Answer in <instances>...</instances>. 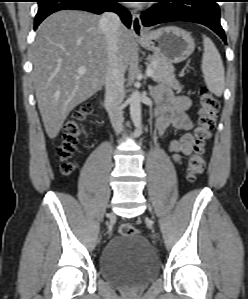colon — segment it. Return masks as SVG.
I'll return each mask as SVG.
<instances>
[{"label":"colon","instance_id":"colon-1","mask_svg":"<svg viewBox=\"0 0 248 299\" xmlns=\"http://www.w3.org/2000/svg\"><path fill=\"white\" fill-rule=\"evenodd\" d=\"M218 110L219 102L216 96L207 87L200 88L193 152L187 162V179L190 182L195 181L204 170L205 147L211 137ZM91 111V104H83L75 113L73 119L65 125L64 138L57 148V154L61 162L60 170L64 175H69L73 171L71 158L77 150L79 125L89 117ZM119 232L123 236H132L137 233V230L130 223H122L119 226Z\"/></svg>","mask_w":248,"mask_h":299}]
</instances>
